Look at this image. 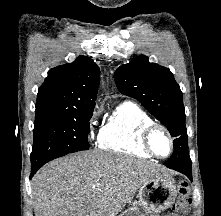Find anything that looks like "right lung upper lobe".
<instances>
[{"mask_svg": "<svg viewBox=\"0 0 221 216\" xmlns=\"http://www.w3.org/2000/svg\"><path fill=\"white\" fill-rule=\"evenodd\" d=\"M100 71L88 57L55 67L38 90L35 123L94 110Z\"/></svg>", "mask_w": 221, "mask_h": 216, "instance_id": "1", "label": "right lung upper lobe"}]
</instances>
